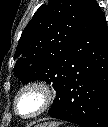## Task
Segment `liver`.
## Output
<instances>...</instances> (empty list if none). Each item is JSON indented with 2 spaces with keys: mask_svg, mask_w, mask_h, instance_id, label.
I'll return each instance as SVG.
<instances>
[{
  "mask_svg": "<svg viewBox=\"0 0 108 127\" xmlns=\"http://www.w3.org/2000/svg\"><path fill=\"white\" fill-rule=\"evenodd\" d=\"M55 123H43L44 126H47V125H53Z\"/></svg>",
  "mask_w": 108,
  "mask_h": 127,
  "instance_id": "6515ba94",
  "label": "liver"
}]
</instances>
